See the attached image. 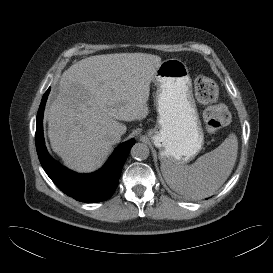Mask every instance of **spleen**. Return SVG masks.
Instances as JSON below:
<instances>
[{
    "label": "spleen",
    "mask_w": 273,
    "mask_h": 273,
    "mask_svg": "<svg viewBox=\"0 0 273 273\" xmlns=\"http://www.w3.org/2000/svg\"><path fill=\"white\" fill-rule=\"evenodd\" d=\"M238 140L231 133L220 146L199 157L191 165L161 162L167 184L175 192L193 199L208 197L222 186L234 167Z\"/></svg>",
    "instance_id": "3e777b00"
}]
</instances>
